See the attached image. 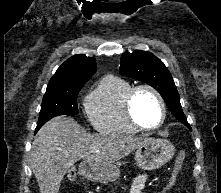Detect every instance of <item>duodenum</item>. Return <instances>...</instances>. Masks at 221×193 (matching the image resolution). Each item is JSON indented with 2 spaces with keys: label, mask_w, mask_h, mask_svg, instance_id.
Wrapping results in <instances>:
<instances>
[{
  "label": "duodenum",
  "mask_w": 221,
  "mask_h": 193,
  "mask_svg": "<svg viewBox=\"0 0 221 193\" xmlns=\"http://www.w3.org/2000/svg\"><path fill=\"white\" fill-rule=\"evenodd\" d=\"M83 167H84V168H86L87 166H86V165H84Z\"/></svg>",
  "instance_id": "obj_1"
}]
</instances>
